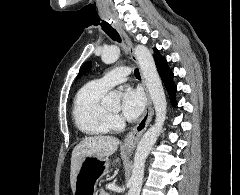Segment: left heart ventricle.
<instances>
[{"instance_id": "1", "label": "left heart ventricle", "mask_w": 240, "mask_h": 195, "mask_svg": "<svg viewBox=\"0 0 240 195\" xmlns=\"http://www.w3.org/2000/svg\"><path fill=\"white\" fill-rule=\"evenodd\" d=\"M110 109L113 111V112H118L119 110V104L113 106V107H110Z\"/></svg>"}]
</instances>
